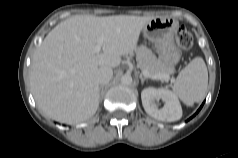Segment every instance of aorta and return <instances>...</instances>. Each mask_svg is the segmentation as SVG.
Returning <instances> with one entry per match:
<instances>
[{
    "label": "aorta",
    "mask_w": 238,
    "mask_h": 158,
    "mask_svg": "<svg viewBox=\"0 0 238 158\" xmlns=\"http://www.w3.org/2000/svg\"><path fill=\"white\" fill-rule=\"evenodd\" d=\"M132 77L129 74H125L121 77V83L123 85H131L132 84Z\"/></svg>",
    "instance_id": "1"
}]
</instances>
